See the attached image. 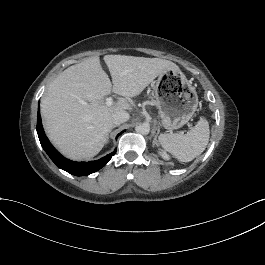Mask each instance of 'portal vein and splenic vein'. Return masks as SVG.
<instances>
[{"mask_svg":"<svg viewBox=\"0 0 265 265\" xmlns=\"http://www.w3.org/2000/svg\"><path fill=\"white\" fill-rule=\"evenodd\" d=\"M126 75V72H122L121 74H120V76H125ZM81 104H85V105H87V103L85 102V101H83V100H80L79 101ZM106 104L107 105H112L113 104V97H107L106 98Z\"/></svg>","mask_w":265,"mask_h":265,"instance_id":"obj_1","label":"portal vein and splenic vein"}]
</instances>
